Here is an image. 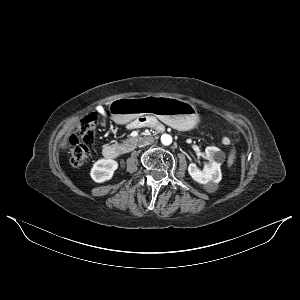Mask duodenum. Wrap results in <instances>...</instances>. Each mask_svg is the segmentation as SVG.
I'll list each match as a JSON object with an SVG mask.
<instances>
[{
	"instance_id": "1",
	"label": "duodenum",
	"mask_w": 300,
	"mask_h": 300,
	"mask_svg": "<svg viewBox=\"0 0 300 300\" xmlns=\"http://www.w3.org/2000/svg\"><path fill=\"white\" fill-rule=\"evenodd\" d=\"M123 149L119 145L109 144L103 147V156L107 159H116L121 156Z\"/></svg>"
}]
</instances>
